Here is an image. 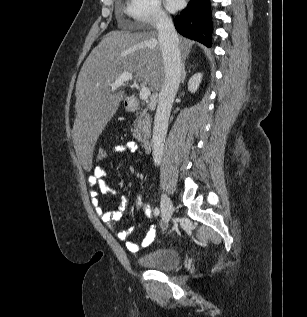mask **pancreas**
<instances>
[{
    "label": "pancreas",
    "instance_id": "cf45deb5",
    "mask_svg": "<svg viewBox=\"0 0 307 317\" xmlns=\"http://www.w3.org/2000/svg\"><path fill=\"white\" fill-rule=\"evenodd\" d=\"M151 127V118L147 113V109L141 108L140 112L136 113V118L133 123L132 135L137 141H142V136Z\"/></svg>",
    "mask_w": 307,
    "mask_h": 317
}]
</instances>
